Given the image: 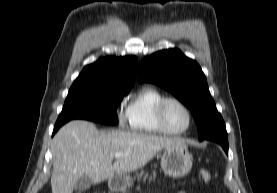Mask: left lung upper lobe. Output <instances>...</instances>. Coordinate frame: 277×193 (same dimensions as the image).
<instances>
[{
	"instance_id": "obj_1",
	"label": "left lung upper lobe",
	"mask_w": 277,
	"mask_h": 193,
	"mask_svg": "<svg viewBox=\"0 0 277 193\" xmlns=\"http://www.w3.org/2000/svg\"><path fill=\"white\" fill-rule=\"evenodd\" d=\"M140 82H152L173 93L193 113L199 140L226 132L225 123L210 95L206 77L196 61L178 49L162 50L139 65Z\"/></svg>"
}]
</instances>
